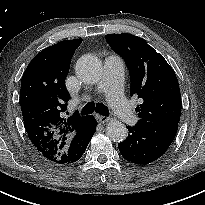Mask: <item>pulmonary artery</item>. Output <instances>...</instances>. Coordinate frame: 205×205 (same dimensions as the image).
Returning a JSON list of instances; mask_svg holds the SVG:
<instances>
[{"instance_id":"e3ab8cb5","label":"pulmonary artery","mask_w":205,"mask_h":205,"mask_svg":"<svg viewBox=\"0 0 205 205\" xmlns=\"http://www.w3.org/2000/svg\"><path fill=\"white\" fill-rule=\"evenodd\" d=\"M124 63L119 55H108L104 60V72L97 89L106 93L107 99L125 124H134L137 120L129 102L122 96Z\"/></svg>"}]
</instances>
